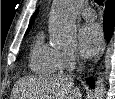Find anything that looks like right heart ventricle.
Listing matches in <instances>:
<instances>
[{
  "instance_id": "1",
  "label": "right heart ventricle",
  "mask_w": 115,
  "mask_h": 99,
  "mask_svg": "<svg viewBox=\"0 0 115 99\" xmlns=\"http://www.w3.org/2000/svg\"><path fill=\"white\" fill-rule=\"evenodd\" d=\"M57 49L44 43L43 35L38 34L32 43L29 55V68L35 74L53 75L60 71Z\"/></svg>"
}]
</instances>
